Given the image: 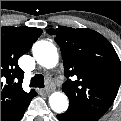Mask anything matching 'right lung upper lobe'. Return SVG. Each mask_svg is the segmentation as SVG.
I'll list each match as a JSON object with an SVG mask.
<instances>
[{
	"label": "right lung upper lobe",
	"instance_id": "right-lung-upper-lobe-1",
	"mask_svg": "<svg viewBox=\"0 0 121 121\" xmlns=\"http://www.w3.org/2000/svg\"><path fill=\"white\" fill-rule=\"evenodd\" d=\"M42 30L33 27H1V121L16 113L36 92L22 89L24 72L18 59L29 51Z\"/></svg>",
	"mask_w": 121,
	"mask_h": 121
}]
</instances>
